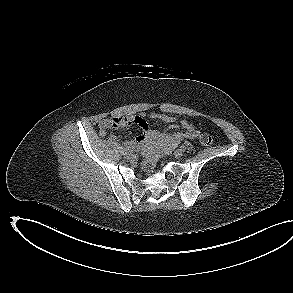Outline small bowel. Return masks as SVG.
I'll return each mask as SVG.
<instances>
[{
  "mask_svg": "<svg viewBox=\"0 0 293 293\" xmlns=\"http://www.w3.org/2000/svg\"><path fill=\"white\" fill-rule=\"evenodd\" d=\"M149 117L153 119H160L165 123L176 122V118L168 114L152 113ZM133 124L141 128L142 134L133 139L125 141L124 144L128 147L141 146L150 150L166 143H172L176 147L180 142L185 139L193 140L199 138L200 136V132L191 122L187 120H182L180 122V125L184 129V131H176L170 133L150 129L146 121V116L144 114L132 117L106 118L99 122L98 127L100 130V134L104 135L106 133V130L108 129L128 128Z\"/></svg>",
  "mask_w": 293,
  "mask_h": 293,
  "instance_id": "obj_1",
  "label": "small bowel"
}]
</instances>
